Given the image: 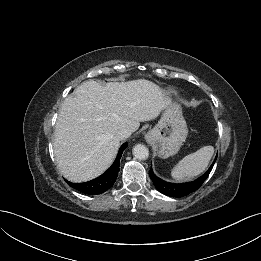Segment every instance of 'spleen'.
Returning a JSON list of instances; mask_svg holds the SVG:
<instances>
[{"instance_id":"obj_1","label":"spleen","mask_w":261,"mask_h":261,"mask_svg":"<svg viewBox=\"0 0 261 261\" xmlns=\"http://www.w3.org/2000/svg\"><path fill=\"white\" fill-rule=\"evenodd\" d=\"M214 153L212 146H205L196 152L185 156L179 163L172 169V176L177 181L190 180L194 176L203 173Z\"/></svg>"}]
</instances>
